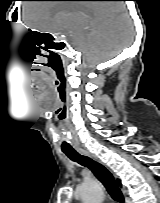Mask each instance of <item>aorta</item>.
<instances>
[{"label": "aorta", "mask_w": 160, "mask_h": 203, "mask_svg": "<svg viewBox=\"0 0 160 203\" xmlns=\"http://www.w3.org/2000/svg\"><path fill=\"white\" fill-rule=\"evenodd\" d=\"M80 196L83 203H102L104 191L101 184L95 180H89L80 187Z\"/></svg>", "instance_id": "aorta-1"}]
</instances>
